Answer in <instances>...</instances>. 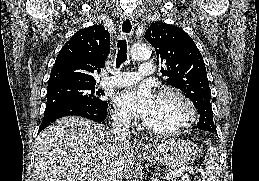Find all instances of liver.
I'll return each instance as SVG.
<instances>
[{"label":"liver","instance_id":"1","mask_svg":"<svg viewBox=\"0 0 259 181\" xmlns=\"http://www.w3.org/2000/svg\"><path fill=\"white\" fill-rule=\"evenodd\" d=\"M113 132L82 117H63L42 131L36 144L35 181H106L116 154ZM123 174L133 162L130 144L119 152Z\"/></svg>","mask_w":259,"mask_h":181}]
</instances>
